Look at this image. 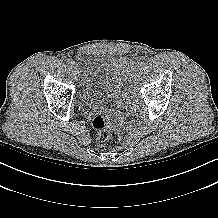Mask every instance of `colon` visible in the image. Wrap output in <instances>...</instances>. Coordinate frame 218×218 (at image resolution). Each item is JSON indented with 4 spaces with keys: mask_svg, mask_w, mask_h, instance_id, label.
<instances>
[{
    "mask_svg": "<svg viewBox=\"0 0 218 218\" xmlns=\"http://www.w3.org/2000/svg\"><path fill=\"white\" fill-rule=\"evenodd\" d=\"M92 127L95 132V141L99 145L106 144L112 137L103 114H96L92 120Z\"/></svg>",
    "mask_w": 218,
    "mask_h": 218,
    "instance_id": "1",
    "label": "colon"
}]
</instances>
